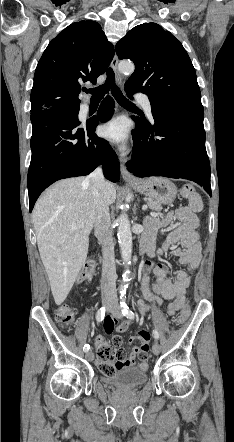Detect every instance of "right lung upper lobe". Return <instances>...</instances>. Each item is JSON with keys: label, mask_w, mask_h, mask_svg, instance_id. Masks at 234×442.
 <instances>
[{"label": "right lung upper lobe", "mask_w": 234, "mask_h": 442, "mask_svg": "<svg viewBox=\"0 0 234 442\" xmlns=\"http://www.w3.org/2000/svg\"><path fill=\"white\" fill-rule=\"evenodd\" d=\"M114 47L92 20L75 22L54 38L40 58L31 91V112L79 106L83 83H96Z\"/></svg>", "instance_id": "obj_1"}]
</instances>
